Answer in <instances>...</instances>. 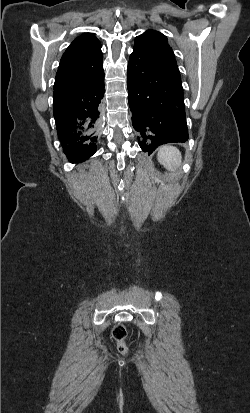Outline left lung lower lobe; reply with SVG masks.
I'll list each match as a JSON object with an SVG mask.
<instances>
[{
	"label": "left lung lower lobe",
	"instance_id": "0a47b994",
	"mask_svg": "<svg viewBox=\"0 0 250 413\" xmlns=\"http://www.w3.org/2000/svg\"><path fill=\"white\" fill-rule=\"evenodd\" d=\"M127 86L132 124L143 151L150 155L161 144L188 140L181 77L168 45L153 36L134 45Z\"/></svg>",
	"mask_w": 250,
	"mask_h": 413
}]
</instances>
